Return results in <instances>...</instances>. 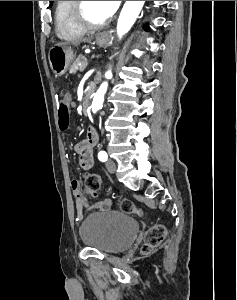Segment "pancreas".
Masks as SVG:
<instances>
[{
	"label": "pancreas",
	"instance_id": "pancreas-1",
	"mask_svg": "<svg viewBox=\"0 0 237 300\" xmlns=\"http://www.w3.org/2000/svg\"><path fill=\"white\" fill-rule=\"evenodd\" d=\"M87 61L86 57L83 55H78L77 59H75L72 67H70V73H76V71H81V66H83V61ZM81 69V70H80Z\"/></svg>",
	"mask_w": 237,
	"mask_h": 300
}]
</instances>
